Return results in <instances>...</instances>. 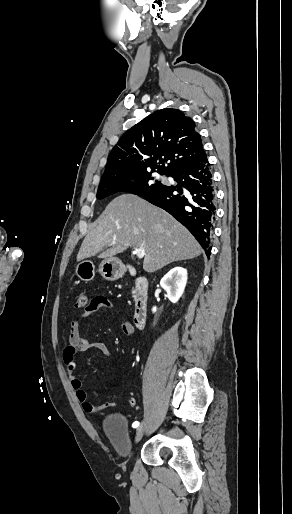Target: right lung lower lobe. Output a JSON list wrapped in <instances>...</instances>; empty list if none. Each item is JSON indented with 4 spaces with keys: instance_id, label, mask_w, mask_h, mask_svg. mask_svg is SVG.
Returning <instances> with one entry per match:
<instances>
[{
    "instance_id": "right-lung-lower-lobe-1",
    "label": "right lung lower lobe",
    "mask_w": 292,
    "mask_h": 514,
    "mask_svg": "<svg viewBox=\"0 0 292 514\" xmlns=\"http://www.w3.org/2000/svg\"><path fill=\"white\" fill-rule=\"evenodd\" d=\"M169 176L177 185H162L142 196L166 210L197 239L206 255L211 254L210 233L215 219L213 176L206 154L198 161L183 166Z\"/></svg>"
}]
</instances>
